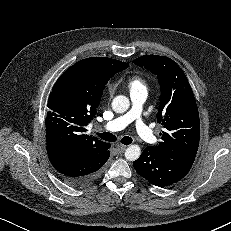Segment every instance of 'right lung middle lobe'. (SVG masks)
<instances>
[{
    "label": "right lung middle lobe",
    "instance_id": "right-lung-middle-lobe-1",
    "mask_svg": "<svg viewBox=\"0 0 231 231\" xmlns=\"http://www.w3.org/2000/svg\"><path fill=\"white\" fill-rule=\"evenodd\" d=\"M76 92V81L71 75L62 74L56 81L51 94L58 98H68Z\"/></svg>",
    "mask_w": 231,
    "mask_h": 231
}]
</instances>
